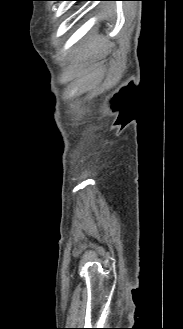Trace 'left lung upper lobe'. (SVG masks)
<instances>
[{
	"label": "left lung upper lobe",
	"instance_id": "obj_1",
	"mask_svg": "<svg viewBox=\"0 0 183 329\" xmlns=\"http://www.w3.org/2000/svg\"><path fill=\"white\" fill-rule=\"evenodd\" d=\"M74 1H88V0H74Z\"/></svg>",
	"mask_w": 183,
	"mask_h": 329
}]
</instances>
